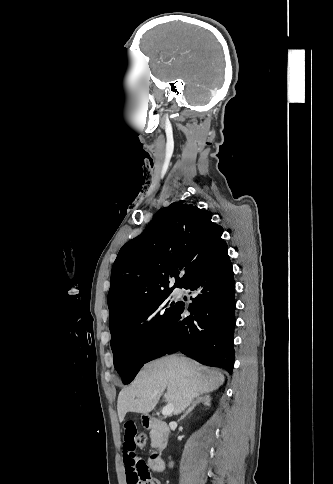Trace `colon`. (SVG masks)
<instances>
[{
  "label": "colon",
  "mask_w": 333,
  "mask_h": 484,
  "mask_svg": "<svg viewBox=\"0 0 333 484\" xmlns=\"http://www.w3.org/2000/svg\"><path fill=\"white\" fill-rule=\"evenodd\" d=\"M135 443L138 447H143L146 443V436L143 433H139L135 439Z\"/></svg>",
  "instance_id": "obj_1"
}]
</instances>
